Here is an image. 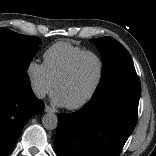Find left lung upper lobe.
<instances>
[{"instance_id":"1","label":"left lung upper lobe","mask_w":156,"mask_h":156,"mask_svg":"<svg viewBox=\"0 0 156 156\" xmlns=\"http://www.w3.org/2000/svg\"><path fill=\"white\" fill-rule=\"evenodd\" d=\"M102 54V76L92 97L111 91L141 94V85L131 56L126 48L112 37L94 39Z\"/></svg>"}]
</instances>
